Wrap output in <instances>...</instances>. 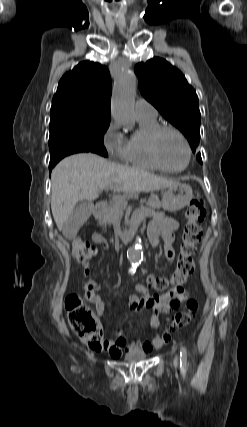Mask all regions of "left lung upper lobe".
I'll use <instances>...</instances> for the list:
<instances>
[{
	"mask_svg": "<svg viewBox=\"0 0 247 427\" xmlns=\"http://www.w3.org/2000/svg\"><path fill=\"white\" fill-rule=\"evenodd\" d=\"M135 73L144 98L186 136L193 152L197 153L201 114L196 92L185 76L158 57L137 64ZM197 160L202 163L200 153Z\"/></svg>",
	"mask_w": 247,
	"mask_h": 427,
	"instance_id": "left-lung-upper-lobe-1",
	"label": "left lung upper lobe"
}]
</instances>
